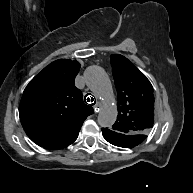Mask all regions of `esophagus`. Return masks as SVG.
I'll list each match as a JSON object with an SVG mask.
<instances>
[{
    "instance_id": "obj_1",
    "label": "esophagus",
    "mask_w": 193,
    "mask_h": 193,
    "mask_svg": "<svg viewBox=\"0 0 193 193\" xmlns=\"http://www.w3.org/2000/svg\"><path fill=\"white\" fill-rule=\"evenodd\" d=\"M101 107H102V104L100 102H97V104L94 108V112L98 113L100 111Z\"/></svg>"
}]
</instances>
